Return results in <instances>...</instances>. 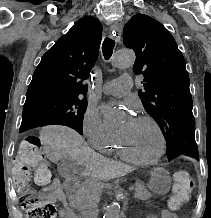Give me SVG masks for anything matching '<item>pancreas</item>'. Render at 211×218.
Wrapping results in <instances>:
<instances>
[{"label":"pancreas","mask_w":211,"mask_h":218,"mask_svg":"<svg viewBox=\"0 0 211 218\" xmlns=\"http://www.w3.org/2000/svg\"><path fill=\"white\" fill-rule=\"evenodd\" d=\"M99 189V186H80V190H72V195L74 196H72L70 206L77 208L83 218H89V216H92L96 205H100V200H97L100 194ZM133 190H135V198H138V200H148L152 196L145 186L139 184V182L134 184Z\"/></svg>","instance_id":"cf45deb5"}]
</instances>
